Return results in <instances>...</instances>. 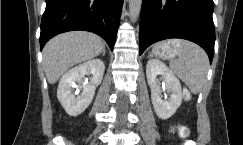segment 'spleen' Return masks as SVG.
<instances>
[{
  "label": "spleen",
  "mask_w": 243,
  "mask_h": 145,
  "mask_svg": "<svg viewBox=\"0 0 243 145\" xmlns=\"http://www.w3.org/2000/svg\"><path fill=\"white\" fill-rule=\"evenodd\" d=\"M179 48L178 59L170 61L171 70L189 87L192 93L201 91L209 68L205 51L189 41L172 40Z\"/></svg>",
  "instance_id": "obj_1"
}]
</instances>
